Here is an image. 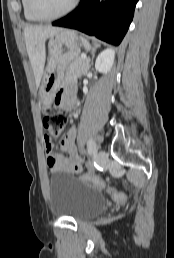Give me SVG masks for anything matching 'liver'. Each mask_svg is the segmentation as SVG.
<instances>
[{
	"instance_id": "1",
	"label": "liver",
	"mask_w": 174,
	"mask_h": 258,
	"mask_svg": "<svg viewBox=\"0 0 174 258\" xmlns=\"http://www.w3.org/2000/svg\"><path fill=\"white\" fill-rule=\"evenodd\" d=\"M62 29L52 26H26L24 37L27 53L32 65L36 87L38 88L43 75L46 50L45 42L51 36L57 34Z\"/></svg>"
}]
</instances>
